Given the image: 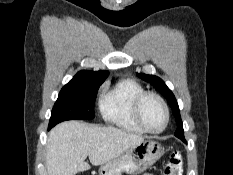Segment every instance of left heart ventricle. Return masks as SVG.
<instances>
[{
	"instance_id": "1",
	"label": "left heart ventricle",
	"mask_w": 233,
	"mask_h": 175,
	"mask_svg": "<svg viewBox=\"0 0 233 175\" xmlns=\"http://www.w3.org/2000/svg\"><path fill=\"white\" fill-rule=\"evenodd\" d=\"M141 115L145 124L152 130L160 129L165 122L164 111L158 100L153 97L144 100Z\"/></svg>"
}]
</instances>
